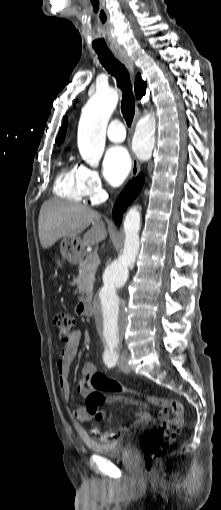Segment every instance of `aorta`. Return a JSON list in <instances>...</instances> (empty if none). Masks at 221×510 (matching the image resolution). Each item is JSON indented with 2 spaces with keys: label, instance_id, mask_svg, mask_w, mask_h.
<instances>
[{
  "label": "aorta",
  "instance_id": "1",
  "mask_svg": "<svg viewBox=\"0 0 221 510\" xmlns=\"http://www.w3.org/2000/svg\"><path fill=\"white\" fill-rule=\"evenodd\" d=\"M118 103V93L107 87L96 90L82 110L78 126V148L82 158L97 167L105 147L108 121ZM156 121L154 113L139 120L132 141L136 156L143 161L150 159L154 148ZM141 216L139 206H133L123 222L125 240L122 254L105 269L102 282L94 297V315L103 342L108 348H118L127 326L125 304L119 294L134 264L140 241Z\"/></svg>",
  "mask_w": 221,
  "mask_h": 510
}]
</instances>
